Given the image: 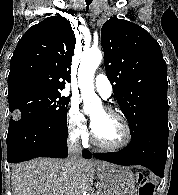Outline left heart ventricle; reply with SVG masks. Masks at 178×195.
Masks as SVG:
<instances>
[{
	"instance_id": "left-heart-ventricle-1",
	"label": "left heart ventricle",
	"mask_w": 178,
	"mask_h": 195,
	"mask_svg": "<svg viewBox=\"0 0 178 195\" xmlns=\"http://www.w3.org/2000/svg\"><path fill=\"white\" fill-rule=\"evenodd\" d=\"M94 132L98 139L109 145L121 143L125 138V130L121 122L113 116L108 115L103 109L92 115Z\"/></svg>"
}]
</instances>
